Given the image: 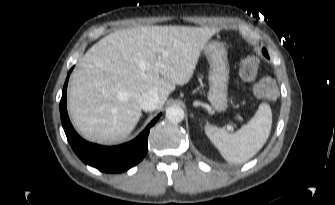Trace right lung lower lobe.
I'll use <instances>...</instances> for the list:
<instances>
[{
  "mask_svg": "<svg viewBox=\"0 0 335 205\" xmlns=\"http://www.w3.org/2000/svg\"><path fill=\"white\" fill-rule=\"evenodd\" d=\"M71 71L72 69L69 71L63 87L60 101V115L67 140L76 155L84 163L107 173L123 172L139 163L148 150L147 141L150 128L157 122L161 114L155 117L145 130L131 142L114 147H105L89 143L75 132L67 114L66 90Z\"/></svg>",
  "mask_w": 335,
  "mask_h": 205,
  "instance_id": "1",
  "label": "right lung lower lobe"
}]
</instances>
